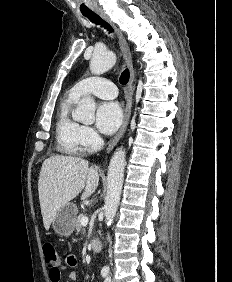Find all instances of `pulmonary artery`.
<instances>
[{"instance_id": "1", "label": "pulmonary artery", "mask_w": 232, "mask_h": 282, "mask_svg": "<svg viewBox=\"0 0 232 282\" xmlns=\"http://www.w3.org/2000/svg\"><path fill=\"white\" fill-rule=\"evenodd\" d=\"M69 94L77 99L86 94L95 95L102 99H114L117 97L118 91L113 82L99 77H90L75 84Z\"/></svg>"}]
</instances>
